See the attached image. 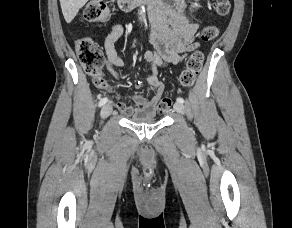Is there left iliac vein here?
<instances>
[{"label":"left iliac vein","instance_id":"left-iliac-vein-1","mask_svg":"<svg viewBox=\"0 0 292 228\" xmlns=\"http://www.w3.org/2000/svg\"><path fill=\"white\" fill-rule=\"evenodd\" d=\"M174 109H175V111H177L180 114H184L185 113V107H184L183 103L176 102L174 104Z\"/></svg>","mask_w":292,"mask_h":228}]
</instances>
